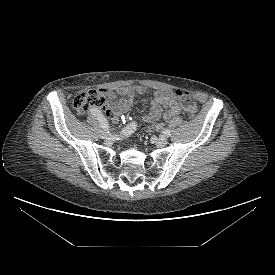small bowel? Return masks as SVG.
Masks as SVG:
<instances>
[{"label": "small bowel", "mask_w": 275, "mask_h": 275, "mask_svg": "<svg viewBox=\"0 0 275 275\" xmlns=\"http://www.w3.org/2000/svg\"><path fill=\"white\" fill-rule=\"evenodd\" d=\"M102 93L107 98L104 111L114 123L121 120L122 115L130 109L135 98L140 94L151 96L149 110L143 120L150 123L152 128L158 127L160 120L168 121L181 113L179 102L170 89L149 91L144 86L135 85L119 87L116 91L103 89ZM117 96H120L119 100Z\"/></svg>", "instance_id": "obj_1"}]
</instances>
